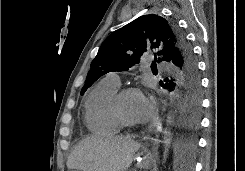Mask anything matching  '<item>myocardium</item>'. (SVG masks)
Here are the masks:
<instances>
[{
  "mask_svg": "<svg viewBox=\"0 0 245 171\" xmlns=\"http://www.w3.org/2000/svg\"><path fill=\"white\" fill-rule=\"evenodd\" d=\"M130 94L142 95V92L139 88L125 87L117 91V93L114 95L112 102H111V109H112L114 118L116 119V121L121 127H125V128H134L138 125V123L136 122H132V121L125 119L120 111L121 100L125 96L130 95Z\"/></svg>",
  "mask_w": 245,
  "mask_h": 171,
  "instance_id": "myocardium-1",
  "label": "myocardium"
}]
</instances>
